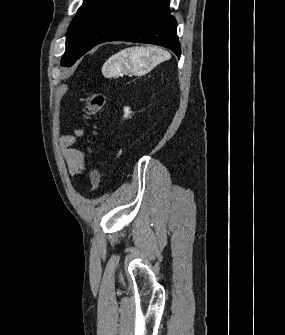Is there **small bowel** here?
Listing matches in <instances>:
<instances>
[{
  "instance_id": "c3829d8e",
  "label": "small bowel",
  "mask_w": 285,
  "mask_h": 335,
  "mask_svg": "<svg viewBox=\"0 0 285 335\" xmlns=\"http://www.w3.org/2000/svg\"><path fill=\"white\" fill-rule=\"evenodd\" d=\"M83 135L82 129L75 130L74 134L61 138V147L72 175L79 174L84 168V155L81 150L72 147L76 138Z\"/></svg>"
}]
</instances>
